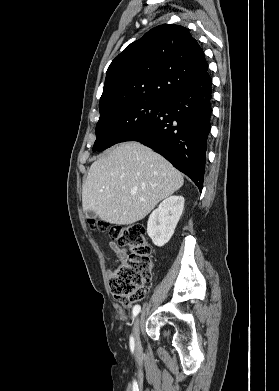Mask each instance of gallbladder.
I'll use <instances>...</instances> for the list:
<instances>
[{
	"mask_svg": "<svg viewBox=\"0 0 279 391\" xmlns=\"http://www.w3.org/2000/svg\"><path fill=\"white\" fill-rule=\"evenodd\" d=\"M86 217L90 218V219L96 218V213L94 211H92V210H89V211L86 212Z\"/></svg>",
	"mask_w": 279,
	"mask_h": 391,
	"instance_id": "gallbladder-1",
	"label": "gallbladder"
}]
</instances>
